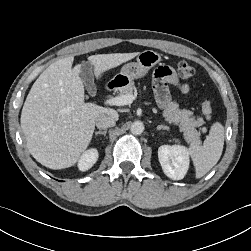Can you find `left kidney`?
<instances>
[{"mask_svg":"<svg viewBox=\"0 0 251 251\" xmlns=\"http://www.w3.org/2000/svg\"><path fill=\"white\" fill-rule=\"evenodd\" d=\"M158 158L165 175L172 180H181L189 168V151L181 145H162Z\"/></svg>","mask_w":251,"mask_h":251,"instance_id":"5707ae66","label":"left kidney"}]
</instances>
